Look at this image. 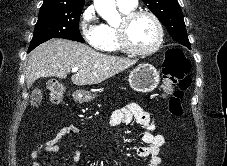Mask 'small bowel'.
Listing matches in <instances>:
<instances>
[{
  "mask_svg": "<svg viewBox=\"0 0 227 166\" xmlns=\"http://www.w3.org/2000/svg\"><path fill=\"white\" fill-rule=\"evenodd\" d=\"M136 120L143 128L141 139L145 146L137 149V155L141 158L150 159L149 166H161V147L165 143L164 136L157 134L155 126V115L136 103L125 104L116 109L111 115V122L114 125L127 124ZM79 133V128L75 125H67L57 131L54 137L38 144L30 153L32 166H41L40 156L45 152L58 153L59 146L65 145V138ZM81 154L78 150L74 152L73 162H79Z\"/></svg>",
  "mask_w": 227,
  "mask_h": 166,
  "instance_id": "obj_1",
  "label": "small bowel"
}]
</instances>
